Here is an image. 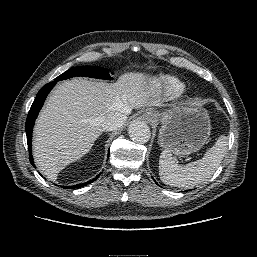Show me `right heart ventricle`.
<instances>
[{
  "mask_svg": "<svg viewBox=\"0 0 257 257\" xmlns=\"http://www.w3.org/2000/svg\"><path fill=\"white\" fill-rule=\"evenodd\" d=\"M157 87L160 93L164 96H177L185 89V86L181 81L168 75L158 78Z\"/></svg>",
  "mask_w": 257,
  "mask_h": 257,
  "instance_id": "right-heart-ventricle-1",
  "label": "right heart ventricle"
}]
</instances>
